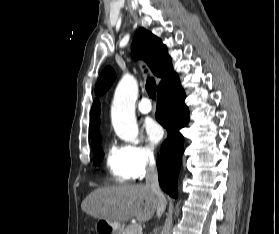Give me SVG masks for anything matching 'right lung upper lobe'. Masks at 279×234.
<instances>
[{
    "mask_svg": "<svg viewBox=\"0 0 279 234\" xmlns=\"http://www.w3.org/2000/svg\"><path fill=\"white\" fill-rule=\"evenodd\" d=\"M132 55L134 58H143L150 66L152 72L161 77L162 80L158 88L167 83L176 73L173 71L172 60L168 55L167 47L162 41L144 28H140L133 39ZM115 80V73L111 67L105 68L96 84L95 93L97 96L102 95L112 85ZM100 102L94 100L91 117H90V137L92 145L100 139Z\"/></svg>",
    "mask_w": 279,
    "mask_h": 234,
    "instance_id": "right-lung-upper-lobe-1",
    "label": "right lung upper lobe"
}]
</instances>
